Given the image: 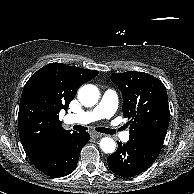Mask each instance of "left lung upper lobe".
<instances>
[{
	"instance_id": "left-lung-upper-lobe-1",
	"label": "left lung upper lobe",
	"mask_w": 194,
	"mask_h": 194,
	"mask_svg": "<svg viewBox=\"0 0 194 194\" xmlns=\"http://www.w3.org/2000/svg\"><path fill=\"white\" fill-rule=\"evenodd\" d=\"M111 80L123 94V116L130 119V135L163 145L170 112L166 88L144 72L113 73Z\"/></svg>"
}]
</instances>
